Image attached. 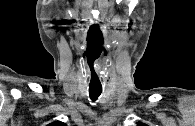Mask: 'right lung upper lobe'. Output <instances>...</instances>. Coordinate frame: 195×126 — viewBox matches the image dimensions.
<instances>
[{
	"instance_id": "1",
	"label": "right lung upper lobe",
	"mask_w": 195,
	"mask_h": 126,
	"mask_svg": "<svg viewBox=\"0 0 195 126\" xmlns=\"http://www.w3.org/2000/svg\"><path fill=\"white\" fill-rule=\"evenodd\" d=\"M47 126H67L65 123H62L60 121H57V122H53Z\"/></svg>"
}]
</instances>
